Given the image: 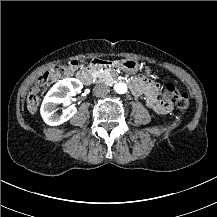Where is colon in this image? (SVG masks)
Here are the masks:
<instances>
[{
	"label": "colon",
	"mask_w": 217,
	"mask_h": 217,
	"mask_svg": "<svg viewBox=\"0 0 217 217\" xmlns=\"http://www.w3.org/2000/svg\"><path fill=\"white\" fill-rule=\"evenodd\" d=\"M82 62L79 59H74L68 63L63 64V66H54L52 69H47L41 73L40 78L36 79L34 82V87H32L26 97L27 109L30 113H35L39 105V89L45 85L46 81L50 80L53 76L55 79H61L62 77H67L76 70L81 69ZM163 92L166 96L174 97L175 104L177 108L185 110L189 106V96L187 93L180 91L179 86L174 81L165 82L163 85Z\"/></svg>",
	"instance_id": "1"
}]
</instances>
